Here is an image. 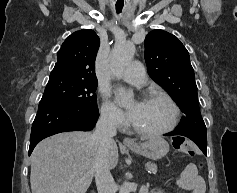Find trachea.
<instances>
[{
    "label": "trachea",
    "mask_w": 237,
    "mask_h": 193,
    "mask_svg": "<svg viewBox=\"0 0 237 193\" xmlns=\"http://www.w3.org/2000/svg\"><path fill=\"white\" fill-rule=\"evenodd\" d=\"M123 6H116V12L120 13L122 10Z\"/></svg>",
    "instance_id": "trachea-1"
}]
</instances>
